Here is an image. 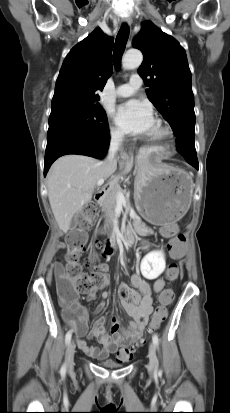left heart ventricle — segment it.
Instances as JSON below:
<instances>
[{
	"label": "left heart ventricle",
	"mask_w": 230,
	"mask_h": 413,
	"mask_svg": "<svg viewBox=\"0 0 230 413\" xmlns=\"http://www.w3.org/2000/svg\"><path fill=\"white\" fill-rule=\"evenodd\" d=\"M154 130H155V126H154V128L152 129V131L150 132V134H152V133L154 132Z\"/></svg>",
	"instance_id": "b2bd125f"
}]
</instances>
